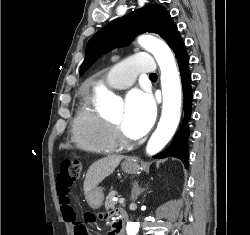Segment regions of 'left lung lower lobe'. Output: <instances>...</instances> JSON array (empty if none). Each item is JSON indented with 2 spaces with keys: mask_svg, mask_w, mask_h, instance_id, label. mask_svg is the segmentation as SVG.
I'll return each instance as SVG.
<instances>
[{
  "mask_svg": "<svg viewBox=\"0 0 250 235\" xmlns=\"http://www.w3.org/2000/svg\"><path fill=\"white\" fill-rule=\"evenodd\" d=\"M171 49L174 51L179 69L181 74L182 80V88H183V95H184V113L185 116L183 118V122L180 126L179 131L174 137V140L171 146L165 150L164 152L160 153L159 155L155 156V158H165V157H176L182 160L185 167H188V146H187V139L189 137V129L187 126L188 120L191 115V103H192V88H191V74L189 72V57L186 52L185 44L180 37L179 33L175 36L172 44Z\"/></svg>",
  "mask_w": 250,
  "mask_h": 235,
  "instance_id": "obj_1",
  "label": "left lung lower lobe"
}]
</instances>
